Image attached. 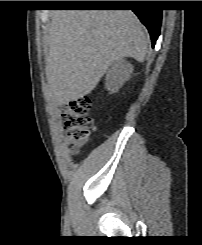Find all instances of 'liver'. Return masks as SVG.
I'll list each match as a JSON object with an SVG mask.
<instances>
[{"instance_id":"1","label":"liver","mask_w":202,"mask_h":245,"mask_svg":"<svg viewBox=\"0 0 202 245\" xmlns=\"http://www.w3.org/2000/svg\"><path fill=\"white\" fill-rule=\"evenodd\" d=\"M150 39L130 10L52 13L46 76L55 103L91 93L109 66L125 57L143 62Z\"/></svg>"}]
</instances>
